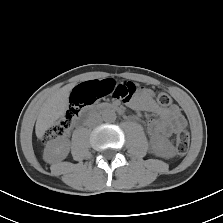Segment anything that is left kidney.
Listing matches in <instances>:
<instances>
[{
	"label": "left kidney",
	"instance_id": "5707ae66",
	"mask_svg": "<svg viewBox=\"0 0 223 223\" xmlns=\"http://www.w3.org/2000/svg\"><path fill=\"white\" fill-rule=\"evenodd\" d=\"M153 150L162 157L174 156V147L168 140H159L153 144Z\"/></svg>",
	"mask_w": 223,
	"mask_h": 223
}]
</instances>
